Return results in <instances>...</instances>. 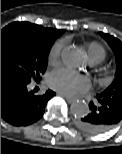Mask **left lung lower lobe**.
Masks as SVG:
<instances>
[{"label": "left lung lower lobe", "mask_w": 122, "mask_h": 154, "mask_svg": "<svg viewBox=\"0 0 122 154\" xmlns=\"http://www.w3.org/2000/svg\"><path fill=\"white\" fill-rule=\"evenodd\" d=\"M89 113L77 121V126L89 133L110 130L122 120V101L116 96L102 92L89 104Z\"/></svg>", "instance_id": "obj_1"}]
</instances>
